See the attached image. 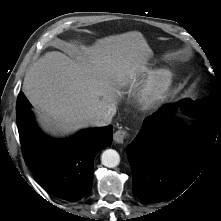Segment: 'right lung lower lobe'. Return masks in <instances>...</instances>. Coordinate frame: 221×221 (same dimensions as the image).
Instances as JSON below:
<instances>
[{
	"instance_id": "right-lung-lower-lobe-1",
	"label": "right lung lower lobe",
	"mask_w": 221,
	"mask_h": 221,
	"mask_svg": "<svg viewBox=\"0 0 221 221\" xmlns=\"http://www.w3.org/2000/svg\"><path fill=\"white\" fill-rule=\"evenodd\" d=\"M16 119L26 165L54 196L74 202L92 187L94 157L112 142L113 126L86 129L54 140L38 128L25 95H18Z\"/></svg>"
}]
</instances>
